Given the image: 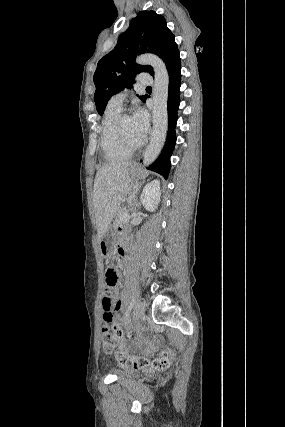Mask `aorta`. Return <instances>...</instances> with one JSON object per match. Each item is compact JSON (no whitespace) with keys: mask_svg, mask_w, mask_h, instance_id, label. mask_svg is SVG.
Here are the masks:
<instances>
[{"mask_svg":"<svg viewBox=\"0 0 285 427\" xmlns=\"http://www.w3.org/2000/svg\"><path fill=\"white\" fill-rule=\"evenodd\" d=\"M136 62L141 65H150L154 70L153 87V130L151 140L147 146L143 164L148 166L154 162L159 155L167 134L168 127V90L169 75L165 63L156 55L143 54L137 57Z\"/></svg>","mask_w":285,"mask_h":427,"instance_id":"obj_1","label":"aorta"}]
</instances>
